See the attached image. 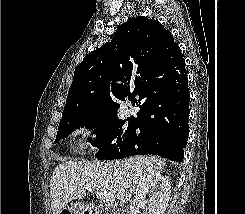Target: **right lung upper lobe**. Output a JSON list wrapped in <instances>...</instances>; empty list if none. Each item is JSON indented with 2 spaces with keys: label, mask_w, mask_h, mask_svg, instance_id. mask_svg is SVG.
<instances>
[{
  "label": "right lung upper lobe",
  "mask_w": 245,
  "mask_h": 214,
  "mask_svg": "<svg viewBox=\"0 0 245 214\" xmlns=\"http://www.w3.org/2000/svg\"><path fill=\"white\" fill-rule=\"evenodd\" d=\"M186 77L185 61L170 31L157 20L131 18L111 42L76 67L62 115L117 113L119 101L128 97L137 102L135 96L141 100L161 78L175 84Z\"/></svg>",
  "instance_id": "right-lung-upper-lobe-1"
}]
</instances>
